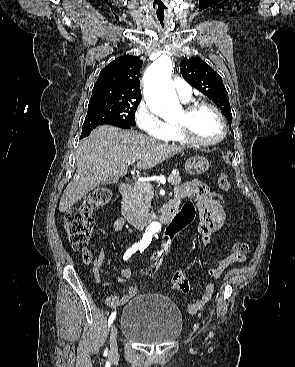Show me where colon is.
Instances as JSON below:
<instances>
[{"instance_id":"5ec220e1","label":"colon","mask_w":295,"mask_h":367,"mask_svg":"<svg viewBox=\"0 0 295 367\" xmlns=\"http://www.w3.org/2000/svg\"><path fill=\"white\" fill-rule=\"evenodd\" d=\"M217 184L221 190L228 191L231 189V183L226 173H221L218 176ZM212 194L217 197L216 199L219 201V205H227V200L223 199L224 195L219 193L217 189H214ZM110 198L111 191L109 189L98 188L87 195L79 207L71 208L65 214L64 225L68 239L75 250L82 252L86 261H90L91 259L89 243L94 223L93 211L105 206ZM184 199V206L180 207L181 213L178 218L176 220L171 219L163 230V239L160 241L161 247L155 254L154 262L142 271L145 277H153L156 270L159 269V263L169 247L174 246V239L179 234V229L184 228L194 221L197 212L196 204L193 202L194 198L191 195H186ZM248 251V243L244 241L236 242L230 254L219 263V266L225 268L230 263L243 262Z\"/></svg>"}]
</instances>
